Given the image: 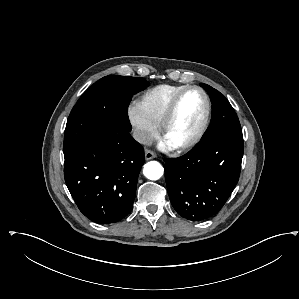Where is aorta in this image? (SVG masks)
I'll use <instances>...</instances> for the list:
<instances>
[{"mask_svg":"<svg viewBox=\"0 0 299 299\" xmlns=\"http://www.w3.org/2000/svg\"><path fill=\"white\" fill-rule=\"evenodd\" d=\"M164 169L157 161H150L144 165L143 174L150 180H158L162 177Z\"/></svg>","mask_w":299,"mask_h":299,"instance_id":"obj_1","label":"aorta"}]
</instances>
